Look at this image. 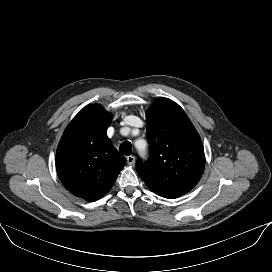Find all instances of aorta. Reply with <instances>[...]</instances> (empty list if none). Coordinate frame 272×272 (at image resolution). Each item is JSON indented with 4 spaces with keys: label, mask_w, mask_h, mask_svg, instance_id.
<instances>
[{
    "label": "aorta",
    "mask_w": 272,
    "mask_h": 272,
    "mask_svg": "<svg viewBox=\"0 0 272 272\" xmlns=\"http://www.w3.org/2000/svg\"><path fill=\"white\" fill-rule=\"evenodd\" d=\"M141 143V145H139ZM140 155L144 156L146 152V142L144 140H138L135 143Z\"/></svg>",
    "instance_id": "obj_1"
}]
</instances>
